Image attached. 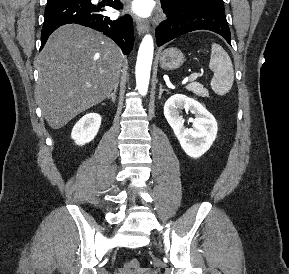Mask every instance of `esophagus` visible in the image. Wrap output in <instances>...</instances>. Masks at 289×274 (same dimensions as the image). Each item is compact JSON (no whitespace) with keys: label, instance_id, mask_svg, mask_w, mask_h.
I'll return each mask as SVG.
<instances>
[{"label":"esophagus","instance_id":"1","mask_svg":"<svg viewBox=\"0 0 289 274\" xmlns=\"http://www.w3.org/2000/svg\"><path fill=\"white\" fill-rule=\"evenodd\" d=\"M136 28L139 34L146 32L148 30L147 21L141 18H136Z\"/></svg>","mask_w":289,"mask_h":274}]
</instances>
